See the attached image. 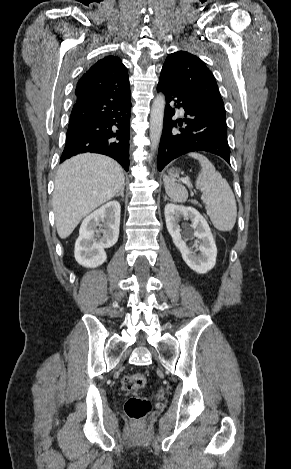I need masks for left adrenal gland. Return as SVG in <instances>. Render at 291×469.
Returning a JSON list of instances; mask_svg holds the SVG:
<instances>
[{
	"instance_id": "obj_1",
	"label": "left adrenal gland",
	"mask_w": 291,
	"mask_h": 469,
	"mask_svg": "<svg viewBox=\"0 0 291 469\" xmlns=\"http://www.w3.org/2000/svg\"><path fill=\"white\" fill-rule=\"evenodd\" d=\"M164 200H165V201H166V200H168V198H167V196H166V195H165V197H164Z\"/></svg>"
}]
</instances>
